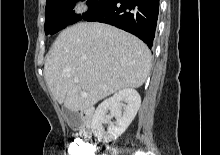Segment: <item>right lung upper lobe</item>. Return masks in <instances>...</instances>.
Listing matches in <instances>:
<instances>
[{
    "instance_id": "cb5924a9",
    "label": "right lung upper lobe",
    "mask_w": 220,
    "mask_h": 155,
    "mask_svg": "<svg viewBox=\"0 0 220 155\" xmlns=\"http://www.w3.org/2000/svg\"><path fill=\"white\" fill-rule=\"evenodd\" d=\"M51 1H53V0H47L46 3H49V2H51Z\"/></svg>"
}]
</instances>
